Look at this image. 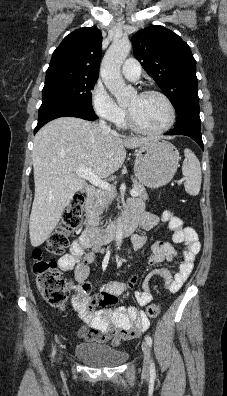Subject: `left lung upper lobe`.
I'll use <instances>...</instances> for the list:
<instances>
[{
  "mask_svg": "<svg viewBox=\"0 0 227 396\" xmlns=\"http://www.w3.org/2000/svg\"><path fill=\"white\" fill-rule=\"evenodd\" d=\"M134 54L178 111L199 102L196 61L190 47L163 26H150L132 37Z\"/></svg>",
  "mask_w": 227,
  "mask_h": 396,
  "instance_id": "left-lung-upper-lobe-1",
  "label": "left lung upper lobe"
}]
</instances>
